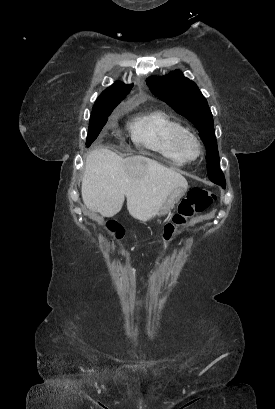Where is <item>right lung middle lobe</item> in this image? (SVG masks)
I'll return each instance as SVG.
<instances>
[{"label":"right lung middle lobe","instance_id":"obj_1","mask_svg":"<svg viewBox=\"0 0 275 409\" xmlns=\"http://www.w3.org/2000/svg\"><path fill=\"white\" fill-rule=\"evenodd\" d=\"M112 111H113V108L100 110L96 112L92 111L90 122H89L86 147H89L92 144V142L97 138L100 131L106 124L108 120V116L111 114Z\"/></svg>","mask_w":275,"mask_h":409}]
</instances>
